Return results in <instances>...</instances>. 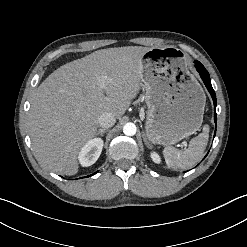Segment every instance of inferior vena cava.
<instances>
[{"label":"inferior vena cava","instance_id":"602c4592","mask_svg":"<svg viewBox=\"0 0 247 247\" xmlns=\"http://www.w3.org/2000/svg\"><path fill=\"white\" fill-rule=\"evenodd\" d=\"M98 122H99L100 127H102L103 129L110 128L115 124L116 118L112 113L105 112L99 116Z\"/></svg>","mask_w":247,"mask_h":247}]
</instances>
